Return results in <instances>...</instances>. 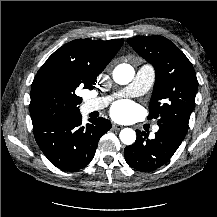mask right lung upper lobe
<instances>
[{"mask_svg": "<svg viewBox=\"0 0 217 217\" xmlns=\"http://www.w3.org/2000/svg\"><path fill=\"white\" fill-rule=\"evenodd\" d=\"M123 41L77 39L68 42L46 60L36 76L56 72L85 88L93 89L97 76L118 52Z\"/></svg>", "mask_w": 217, "mask_h": 217, "instance_id": "1", "label": "right lung upper lobe"}]
</instances>
